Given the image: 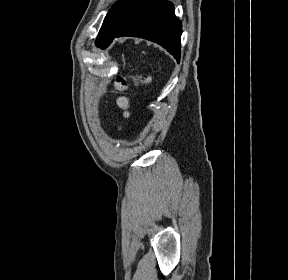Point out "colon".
Segmentation results:
<instances>
[{
	"label": "colon",
	"instance_id": "1",
	"mask_svg": "<svg viewBox=\"0 0 288 280\" xmlns=\"http://www.w3.org/2000/svg\"><path fill=\"white\" fill-rule=\"evenodd\" d=\"M129 77L119 76L114 80V91L118 94L117 104L123 110L124 116L129 118L131 116L130 111V99L124 94L127 89V81ZM138 84H149L150 78H146L145 80H140L137 78H132Z\"/></svg>",
	"mask_w": 288,
	"mask_h": 280
}]
</instances>
